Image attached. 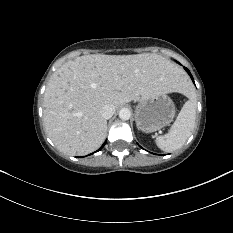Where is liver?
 Instances as JSON below:
<instances>
[{"label": "liver", "mask_w": 233, "mask_h": 233, "mask_svg": "<svg viewBox=\"0 0 233 233\" xmlns=\"http://www.w3.org/2000/svg\"><path fill=\"white\" fill-rule=\"evenodd\" d=\"M185 88L183 71L157 54L81 56L52 75L43 102L44 127L58 150L85 155L105 140L104 105L118 108Z\"/></svg>", "instance_id": "1"}]
</instances>
